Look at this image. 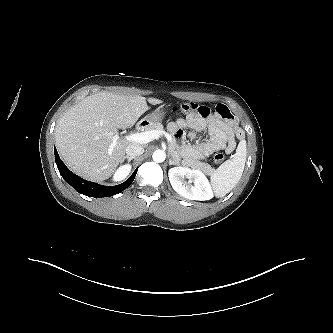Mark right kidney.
Segmentation results:
<instances>
[{
    "label": "right kidney",
    "instance_id": "ca27d5eb",
    "mask_svg": "<svg viewBox=\"0 0 333 333\" xmlns=\"http://www.w3.org/2000/svg\"><path fill=\"white\" fill-rule=\"evenodd\" d=\"M130 170H131L130 164L120 166L114 175V180L121 181V180L125 179L126 176L129 174Z\"/></svg>",
    "mask_w": 333,
    "mask_h": 333
}]
</instances>
